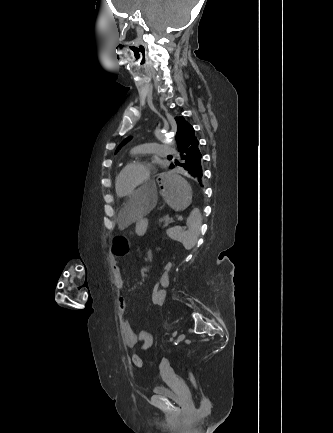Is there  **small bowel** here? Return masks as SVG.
Here are the masks:
<instances>
[{"label": "small bowel", "instance_id": "small-bowel-1", "mask_svg": "<svg viewBox=\"0 0 333 433\" xmlns=\"http://www.w3.org/2000/svg\"><path fill=\"white\" fill-rule=\"evenodd\" d=\"M148 258L152 257V252L148 251L147 253ZM165 270V269H164ZM163 270V271H164ZM162 273V272H161ZM167 276H163V279H160V274L158 281H161V284H157L159 286V293L161 294V305L165 302L166 296H167V288L170 284V275L169 272H167ZM115 280H116V286L118 289L123 288V274L120 266L118 264L115 265ZM119 310L121 314H124L127 302L124 296L119 297ZM120 332L122 336L123 343L128 348H135L137 346H140L143 350H148L152 347L153 344V337L152 335L147 331H140L136 333L133 328L131 327L130 323L124 319L120 321Z\"/></svg>", "mask_w": 333, "mask_h": 433}]
</instances>
